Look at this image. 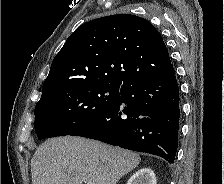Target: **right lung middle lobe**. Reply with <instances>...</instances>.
Masks as SVG:
<instances>
[{"label":"right lung middle lobe","mask_w":224,"mask_h":184,"mask_svg":"<svg viewBox=\"0 0 224 184\" xmlns=\"http://www.w3.org/2000/svg\"><path fill=\"white\" fill-rule=\"evenodd\" d=\"M122 87L110 83H82L37 103L34 125L38 138L69 135L113 104Z\"/></svg>","instance_id":"obj_1"}]
</instances>
